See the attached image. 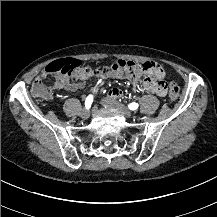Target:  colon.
<instances>
[{
  "mask_svg": "<svg viewBox=\"0 0 217 217\" xmlns=\"http://www.w3.org/2000/svg\"><path fill=\"white\" fill-rule=\"evenodd\" d=\"M84 66L87 68L88 65L83 62H78L75 58H64L52 63L44 71L38 73L37 79L32 86L34 97L39 100H46L52 97L54 94V86L66 81L68 73H75L78 70H82ZM103 69H110L111 71L124 70L127 74H139L144 77L151 76L157 79H164L166 77L164 68L157 62L137 63L119 59L104 64ZM179 92V86L174 82L169 89V98L172 101L177 100Z\"/></svg>",
  "mask_w": 217,
  "mask_h": 217,
  "instance_id": "5ec220e1",
  "label": "colon"
}]
</instances>
